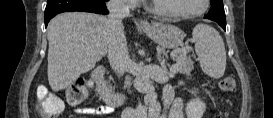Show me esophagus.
<instances>
[{"label": "esophagus", "instance_id": "obj_1", "mask_svg": "<svg viewBox=\"0 0 273 118\" xmlns=\"http://www.w3.org/2000/svg\"><path fill=\"white\" fill-rule=\"evenodd\" d=\"M140 25H141V27H143V28H148L150 25H149V23L147 22V21H145V20H142L141 22H140Z\"/></svg>", "mask_w": 273, "mask_h": 118}]
</instances>
